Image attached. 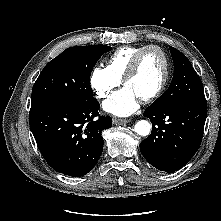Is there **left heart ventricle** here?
I'll return each instance as SVG.
<instances>
[{
    "label": "left heart ventricle",
    "instance_id": "obj_1",
    "mask_svg": "<svg viewBox=\"0 0 221 221\" xmlns=\"http://www.w3.org/2000/svg\"><path fill=\"white\" fill-rule=\"evenodd\" d=\"M163 58L156 50L148 51L142 57L137 72L125 84L140 99L151 94L163 75Z\"/></svg>",
    "mask_w": 221,
    "mask_h": 221
}]
</instances>
